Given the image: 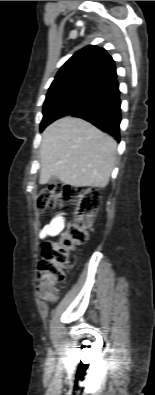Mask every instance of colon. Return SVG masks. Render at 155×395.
<instances>
[{
    "instance_id": "1",
    "label": "colon",
    "mask_w": 155,
    "mask_h": 395,
    "mask_svg": "<svg viewBox=\"0 0 155 395\" xmlns=\"http://www.w3.org/2000/svg\"><path fill=\"white\" fill-rule=\"evenodd\" d=\"M62 201L72 206L74 219L59 233L57 240L42 244L37 270L39 297L48 301L55 300L54 286L64 280L65 271L70 267V254L88 238L100 194L93 188L54 184L41 191L37 208L45 211Z\"/></svg>"
}]
</instances>
